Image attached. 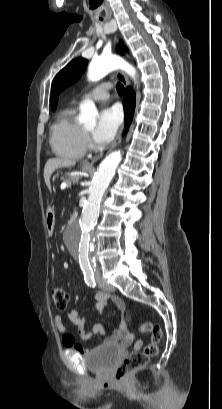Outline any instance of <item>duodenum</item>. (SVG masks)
<instances>
[{
  "mask_svg": "<svg viewBox=\"0 0 222 409\" xmlns=\"http://www.w3.org/2000/svg\"><path fill=\"white\" fill-rule=\"evenodd\" d=\"M78 213L77 212H73L72 214H71V217H70V221L71 222H74V221H76L77 219H78Z\"/></svg>",
  "mask_w": 222,
  "mask_h": 409,
  "instance_id": "1",
  "label": "duodenum"
}]
</instances>
